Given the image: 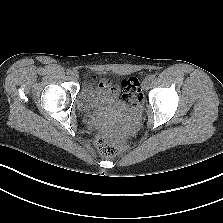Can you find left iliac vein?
<instances>
[{
    "label": "left iliac vein",
    "mask_w": 223,
    "mask_h": 223,
    "mask_svg": "<svg viewBox=\"0 0 223 223\" xmlns=\"http://www.w3.org/2000/svg\"><path fill=\"white\" fill-rule=\"evenodd\" d=\"M149 86H150V80H149V78H145L142 81V88H143V90H148Z\"/></svg>",
    "instance_id": "left-iliac-vein-1"
}]
</instances>
